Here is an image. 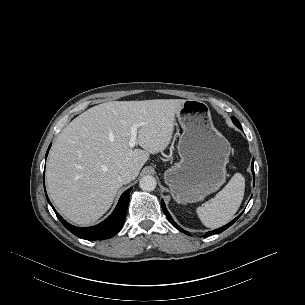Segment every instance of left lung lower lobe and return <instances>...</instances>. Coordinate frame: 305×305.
<instances>
[{"label":"left lung lower lobe","mask_w":305,"mask_h":305,"mask_svg":"<svg viewBox=\"0 0 305 305\" xmlns=\"http://www.w3.org/2000/svg\"><path fill=\"white\" fill-rule=\"evenodd\" d=\"M251 170H252V172H253V174H254V160L252 161V164H251ZM162 208H163V211H164L166 217H167L168 220L173 224V226H174L175 228H177L178 230L184 232L185 234L189 235L188 232L184 231L182 228H180V227L173 221V219L171 218L170 214L168 213V211H167V209H166L165 204H164L163 201H162ZM240 215H241V214H240ZM240 215H239L238 217H236L233 221H231L230 223H228L227 225H225V226H223V227H221V228H219V229H216V230H213V231L208 232V233L205 235V237L210 236V235H213V234H218V233H221L222 231L226 230L229 226H231V225L240 217Z\"/></svg>","instance_id":"1"}]
</instances>
